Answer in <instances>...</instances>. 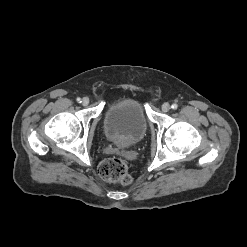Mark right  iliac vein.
Here are the masks:
<instances>
[{"label":"right iliac vein","mask_w":247,"mask_h":247,"mask_svg":"<svg viewBox=\"0 0 247 247\" xmlns=\"http://www.w3.org/2000/svg\"><path fill=\"white\" fill-rule=\"evenodd\" d=\"M81 102H82L83 106H87L89 104L90 100L88 97H84Z\"/></svg>","instance_id":"63e3f726"}]
</instances>
